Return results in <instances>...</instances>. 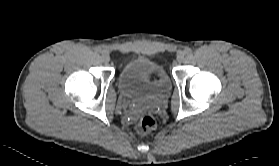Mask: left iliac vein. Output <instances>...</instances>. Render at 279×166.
Masks as SVG:
<instances>
[{"label": "left iliac vein", "instance_id": "obj_1", "mask_svg": "<svg viewBox=\"0 0 279 166\" xmlns=\"http://www.w3.org/2000/svg\"><path fill=\"white\" fill-rule=\"evenodd\" d=\"M184 58H185V53L184 52H179L178 55H177L178 63L183 62Z\"/></svg>", "mask_w": 279, "mask_h": 166}]
</instances>
